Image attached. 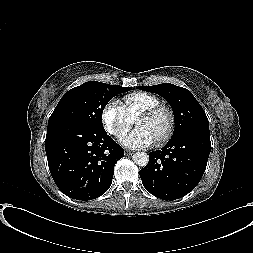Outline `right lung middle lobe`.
<instances>
[{
  "mask_svg": "<svg viewBox=\"0 0 253 253\" xmlns=\"http://www.w3.org/2000/svg\"><path fill=\"white\" fill-rule=\"evenodd\" d=\"M131 89L97 81L83 83L64 94L49 118L48 127L76 123L102 130L106 104L117 94Z\"/></svg>",
  "mask_w": 253,
  "mask_h": 253,
  "instance_id": "dd1d6c3e",
  "label": "right lung middle lobe"
}]
</instances>
